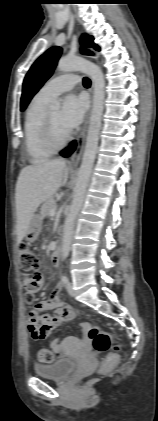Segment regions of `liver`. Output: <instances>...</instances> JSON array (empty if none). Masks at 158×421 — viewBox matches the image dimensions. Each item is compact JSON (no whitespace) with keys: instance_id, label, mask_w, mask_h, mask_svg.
I'll list each match as a JSON object with an SVG mask.
<instances>
[{"instance_id":"liver-1","label":"liver","mask_w":158,"mask_h":421,"mask_svg":"<svg viewBox=\"0 0 158 421\" xmlns=\"http://www.w3.org/2000/svg\"><path fill=\"white\" fill-rule=\"evenodd\" d=\"M68 175L69 169L62 159L26 166L20 171L15 192L18 243L26 236L40 204L66 184Z\"/></svg>"}]
</instances>
